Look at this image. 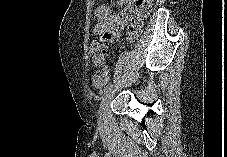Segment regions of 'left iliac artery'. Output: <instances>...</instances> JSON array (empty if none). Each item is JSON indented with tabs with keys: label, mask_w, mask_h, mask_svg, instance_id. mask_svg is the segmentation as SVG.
<instances>
[{
	"label": "left iliac artery",
	"mask_w": 227,
	"mask_h": 157,
	"mask_svg": "<svg viewBox=\"0 0 227 157\" xmlns=\"http://www.w3.org/2000/svg\"><path fill=\"white\" fill-rule=\"evenodd\" d=\"M112 88H113V84L107 85V86L104 88V90L102 91V94H106V93L110 92V91L112 90Z\"/></svg>",
	"instance_id": "1"
}]
</instances>
